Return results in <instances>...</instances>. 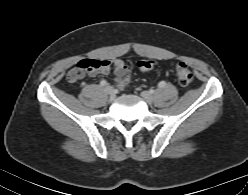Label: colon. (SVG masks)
Listing matches in <instances>:
<instances>
[{"label": "colon", "instance_id": "colon-1", "mask_svg": "<svg viewBox=\"0 0 248 195\" xmlns=\"http://www.w3.org/2000/svg\"><path fill=\"white\" fill-rule=\"evenodd\" d=\"M156 66V62L152 59H143L137 63V67L142 72H148ZM93 68L91 59H86L78 62L73 68L70 69L67 75L69 82H77L88 74ZM128 70L130 69V63L127 64ZM177 81L181 86H188L193 80V74L189 67L184 63H179L176 66ZM130 80L129 73L126 74L120 81L119 86L125 87Z\"/></svg>", "mask_w": 248, "mask_h": 195}]
</instances>
